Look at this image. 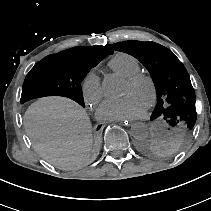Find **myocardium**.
<instances>
[{"label":"myocardium","instance_id":"f54148a6","mask_svg":"<svg viewBox=\"0 0 211 211\" xmlns=\"http://www.w3.org/2000/svg\"><path fill=\"white\" fill-rule=\"evenodd\" d=\"M126 82L131 86H138L141 83H146L150 90V98L145 107L147 109H152L156 105L158 99V90L156 82L151 75L140 71L126 78Z\"/></svg>","mask_w":211,"mask_h":211}]
</instances>
